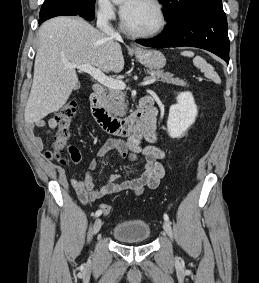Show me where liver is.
Masks as SVG:
<instances>
[{"label": "liver", "mask_w": 259, "mask_h": 283, "mask_svg": "<svg viewBox=\"0 0 259 283\" xmlns=\"http://www.w3.org/2000/svg\"><path fill=\"white\" fill-rule=\"evenodd\" d=\"M24 118L38 122L68 100L78 77L66 64L90 65L109 73L124 67L120 44L80 17L60 16L44 22Z\"/></svg>", "instance_id": "1"}]
</instances>
